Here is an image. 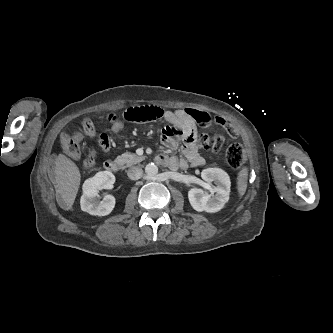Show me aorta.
Segmentation results:
<instances>
[{
	"instance_id": "1",
	"label": "aorta",
	"mask_w": 333,
	"mask_h": 333,
	"mask_svg": "<svg viewBox=\"0 0 333 333\" xmlns=\"http://www.w3.org/2000/svg\"><path fill=\"white\" fill-rule=\"evenodd\" d=\"M145 172L148 176H156L158 174V167L154 163H149L145 166Z\"/></svg>"
}]
</instances>
